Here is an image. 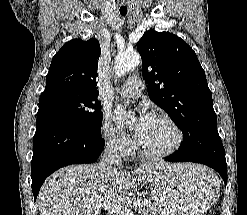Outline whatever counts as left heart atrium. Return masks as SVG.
I'll use <instances>...</instances> for the list:
<instances>
[{
    "label": "left heart atrium",
    "instance_id": "left-heart-atrium-1",
    "mask_svg": "<svg viewBox=\"0 0 247 215\" xmlns=\"http://www.w3.org/2000/svg\"><path fill=\"white\" fill-rule=\"evenodd\" d=\"M153 119L154 118L148 113H142L137 118L135 126H134V133H135V136L137 137V139L140 138L143 135L144 131L152 123ZM117 120H118L119 123L122 122V120H123L122 114H119L117 116Z\"/></svg>",
    "mask_w": 247,
    "mask_h": 215
}]
</instances>
